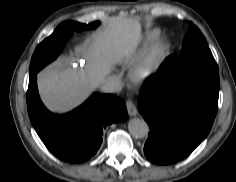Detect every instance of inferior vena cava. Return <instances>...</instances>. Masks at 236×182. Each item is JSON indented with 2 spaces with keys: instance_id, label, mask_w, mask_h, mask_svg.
<instances>
[{
  "instance_id": "inferior-vena-cava-1",
  "label": "inferior vena cava",
  "mask_w": 236,
  "mask_h": 182,
  "mask_svg": "<svg viewBox=\"0 0 236 182\" xmlns=\"http://www.w3.org/2000/svg\"><path fill=\"white\" fill-rule=\"evenodd\" d=\"M100 89L106 93L120 92L122 90V83L118 78L109 76L102 81Z\"/></svg>"
}]
</instances>
